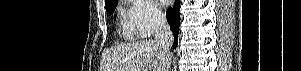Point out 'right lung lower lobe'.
Wrapping results in <instances>:
<instances>
[{
    "label": "right lung lower lobe",
    "mask_w": 301,
    "mask_h": 71,
    "mask_svg": "<svg viewBox=\"0 0 301 71\" xmlns=\"http://www.w3.org/2000/svg\"><path fill=\"white\" fill-rule=\"evenodd\" d=\"M179 4L180 0H175L173 8H168L166 11L167 21L174 35V47L178 44V32H179Z\"/></svg>",
    "instance_id": "98d812e1"
}]
</instances>
